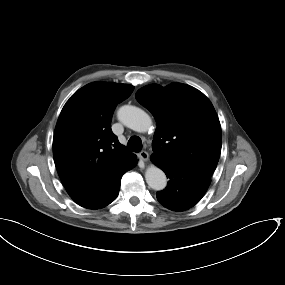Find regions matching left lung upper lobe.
I'll use <instances>...</instances> for the list:
<instances>
[{
    "label": "left lung upper lobe",
    "mask_w": 285,
    "mask_h": 285,
    "mask_svg": "<svg viewBox=\"0 0 285 285\" xmlns=\"http://www.w3.org/2000/svg\"><path fill=\"white\" fill-rule=\"evenodd\" d=\"M136 99L157 121L152 159H161L211 178L221 152V126L209 99L186 84L141 88Z\"/></svg>",
    "instance_id": "5c2ea615"
}]
</instances>
